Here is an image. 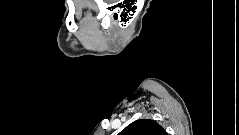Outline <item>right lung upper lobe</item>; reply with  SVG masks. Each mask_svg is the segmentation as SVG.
<instances>
[{"instance_id": "obj_1", "label": "right lung upper lobe", "mask_w": 239, "mask_h": 135, "mask_svg": "<svg viewBox=\"0 0 239 135\" xmlns=\"http://www.w3.org/2000/svg\"><path fill=\"white\" fill-rule=\"evenodd\" d=\"M118 135H167V133L157 122L140 119L129 124Z\"/></svg>"}]
</instances>
